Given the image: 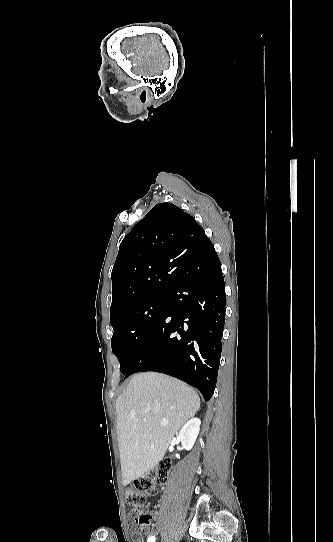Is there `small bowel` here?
I'll list each match as a JSON object with an SVG mask.
<instances>
[{
	"label": "small bowel",
	"instance_id": "small-bowel-1",
	"mask_svg": "<svg viewBox=\"0 0 333 542\" xmlns=\"http://www.w3.org/2000/svg\"><path fill=\"white\" fill-rule=\"evenodd\" d=\"M146 528L149 526L147 523L144 525ZM159 534V531L157 529H154L152 531V534L149 536H152L153 538Z\"/></svg>",
	"mask_w": 333,
	"mask_h": 542
}]
</instances>
